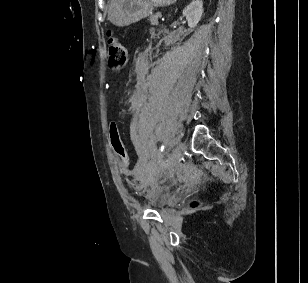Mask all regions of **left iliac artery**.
Returning a JSON list of instances; mask_svg holds the SVG:
<instances>
[{"instance_id": "44dca946", "label": "left iliac artery", "mask_w": 308, "mask_h": 283, "mask_svg": "<svg viewBox=\"0 0 308 283\" xmlns=\"http://www.w3.org/2000/svg\"><path fill=\"white\" fill-rule=\"evenodd\" d=\"M164 150V145L161 146V152Z\"/></svg>"}]
</instances>
